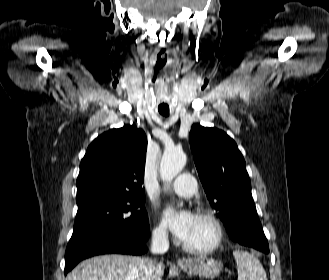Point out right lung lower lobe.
<instances>
[{
	"label": "right lung lower lobe",
	"mask_w": 329,
	"mask_h": 280,
	"mask_svg": "<svg viewBox=\"0 0 329 280\" xmlns=\"http://www.w3.org/2000/svg\"><path fill=\"white\" fill-rule=\"evenodd\" d=\"M149 230L142 235L128 237L111 230H93L69 241L65 252V275L81 260L100 254L140 255L147 251L145 241Z\"/></svg>",
	"instance_id": "obj_1"
}]
</instances>
